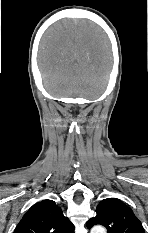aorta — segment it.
<instances>
[{
	"label": "aorta",
	"mask_w": 148,
	"mask_h": 233,
	"mask_svg": "<svg viewBox=\"0 0 148 233\" xmlns=\"http://www.w3.org/2000/svg\"><path fill=\"white\" fill-rule=\"evenodd\" d=\"M90 233H106V229L103 226L97 225L91 229Z\"/></svg>",
	"instance_id": "obj_1"
}]
</instances>
